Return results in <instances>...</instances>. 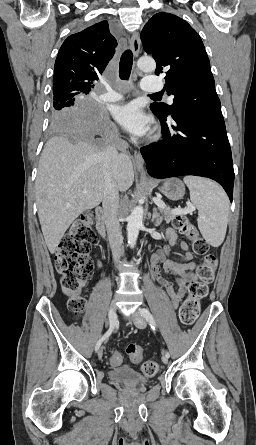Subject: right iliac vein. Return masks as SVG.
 I'll list each match as a JSON object with an SVG mask.
<instances>
[{
    "label": "right iliac vein",
    "mask_w": 256,
    "mask_h": 445,
    "mask_svg": "<svg viewBox=\"0 0 256 445\" xmlns=\"http://www.w3.org/2000/svg\"><path fill=\"white\" fill-rule=\"evenodd\" d=\"M116 315V303H115V300L114 301H112V303L110 304V307H109V321L114 317ZM102 355H103V349H102V347H100L99 349H98V357H102Z\"/></svg>",
    "instance_id": "right-iliac-vein-1"
}]
</instances>
